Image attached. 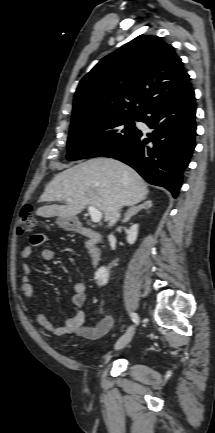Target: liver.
<instances>
[{
  "label": "liver",
  "instance_id": "6515ba94",
  "mask_svg": "<svg viewBox=\"0 0 215 433\" xmlns=\"http://www.w3.org/2000/svg\"><path fill=\"white\" fill-rule=\"evenodd\" d=\"M148 192L142 177L131 167L111 158H93L56 175L40 197L46 202L68 198L71 202L42 206L36 214L71 219L89 205L101 210L108 221L116 210L141 202Z\"/></svg>",
  "mask_w": 215,
  "mask_h": 433
}]
</instances>
